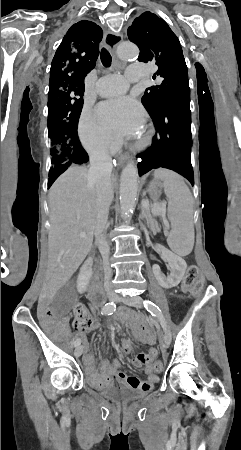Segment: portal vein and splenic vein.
I'll return each mask as SVG.
<instances>
[{
    "label": "portal vein and splenic vein",
    "instance_id": "1",
    "mask_svg": "<svg viewBox=\"0 0 241 450\" xmlns=\"http://www.w3.org/2000/svg\"><path fill=\"white\" fill-rule=\"evenodd\" d=\"M165 204L164 202H152L151 204H143L142 208H143V213H149V209H151L152 213H164V209H165ZM86 236V232H80L79 234V238H85Z\"/></svg>",
    "mask_w": 241,
    "mask_h": 450
}]
</instances>
